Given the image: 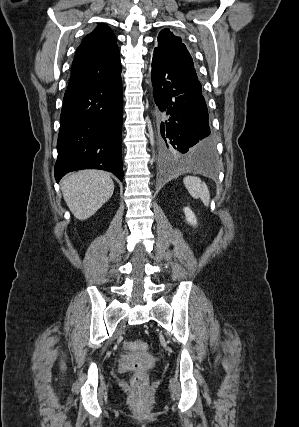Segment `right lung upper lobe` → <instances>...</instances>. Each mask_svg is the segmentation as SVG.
<instances>
[{"label":"right lung upper lobe","instance_id":"obj_1","mask_svg":"<svg viewBox=\"0 0 299 427\" xmlns=\"http://www.w3.org/2000/svg\"><path fill=\"white\" fill-rule=\"evenodd\" d=\"M116 37L105 24L98 25L77 48L68 89L103 81L121 70Z\"/></svg>","mask_w":299,"mask_h":427}]
</instances>
